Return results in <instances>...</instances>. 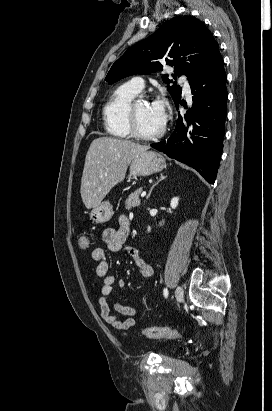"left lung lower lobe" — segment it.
<instances>
[{
    "label": "left lung lower lobe",
    "instance_id": "1",
    "mask_svg": "<svg viewBox=\"0 0 272 411\" xmlns=\"http://www.w3.org/2000/svg\"><path fill=\"white\" fill-rule=\"evenodd\" d=\"M226 79L223 59L218 50L190 82L192 108L184 116L178 115L175 130L169 139L151 144L156 150L193 167L212 184L223 149L227 115ZM180 103L183 104L181 99L175 103L177 109Z\"/></svg>",
    "mask_w": 272,
    "mask_h": 411
}]
</instances>
